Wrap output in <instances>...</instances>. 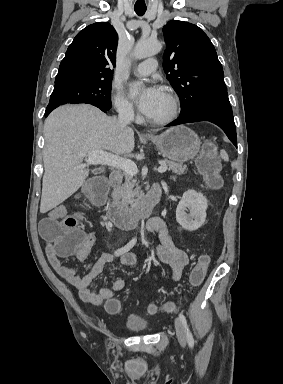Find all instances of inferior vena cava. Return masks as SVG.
Returning <instances> with one entry per match:
<instances>
[{"instance_id": "1", "label": "inferior vena cava", "mask_w": 283, "mask_h": 384, "mask_svg": "<svg viewBox=\"0 0 283 384\" xmlns=\"http://www.w3.org/2000/svg\"><path fill=\"white\" fill-rule=\"evenodd\" d=\"M118 112V124L121 128H127L128 124H131L134 120V112L132 108V104H125V102H121L117 106Z\"/></svg>"}]
</instances>
